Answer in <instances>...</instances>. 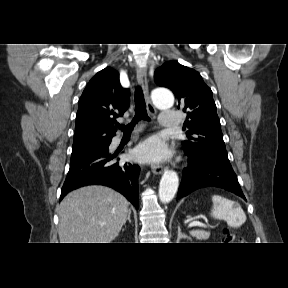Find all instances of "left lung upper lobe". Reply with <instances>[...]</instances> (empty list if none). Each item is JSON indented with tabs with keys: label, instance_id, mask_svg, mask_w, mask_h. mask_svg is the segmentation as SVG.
I'll use <instances>...</instances> for the list:
<instances>
[{
	"label": "left lung upper lobe",
	"instance_id": "left-lung-upper-lobe-1",
	"mask_svg": "<svg viewBox=\"0 0 288 288\" xmlns=\"http://www.w3.org/2000/svg\"><path fill=\"white\" fill-rule=\"evenodd\" d=\"M157 85L167 87L178 98V108L187 113L189 130L182 142L186 154L206 155L228 163L220 120L211 89L201 75L176 61H168L154 73Z\"/></svg>",
	"mask_w": 288,
	"mask_h": 288
}]
</instances>
